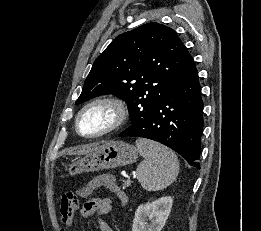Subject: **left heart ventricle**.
<instances>
[{"mask_svg": "<svg viewBox=\"0 0 261 231\" xmlns=\"http://www.w3.org/2000/svg\"><path fill=\"white\" fill-rule=\"evenodd\" d=\"M115 120L114 110L105 104L87 109L79 120V129L83 134H95L108 128Z\"/></svg>", "mask_w": 261, "mask_h": 231, "instance_id": "left-heart-ventricle-1", "label": "left heart ventricle"}]
</instances>
